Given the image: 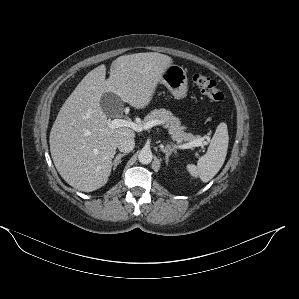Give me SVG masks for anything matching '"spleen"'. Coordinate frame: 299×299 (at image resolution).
Instances as JSON below:
<instances>
[{
  "mask_svg": "<svg viewBox=\"0 0 299 299\" xmlns=\"http://www.w3.org/2000/svg\"><path fill=\"white\" fill-rule=\"evenodd\" d=\"M229 143V136L226 123H220L211 139L207 153L199 158L197 165L189 164L187 169L194 177L203 182L210 181L224 164Z\"/></svg>",
  "mask_w": 299,
  "mask_h": 299,
  "instance_id": "3e777b00",
  "label": "spleen"
}]
</instances>
